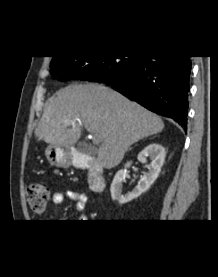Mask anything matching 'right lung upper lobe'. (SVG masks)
Here are the masks:
<instances>
[{
  "label": "right lung upper lobe",
  "mask_w": 218,
  "mask_h": 277,
  "mask_svg": "<svg viewBox=\"0 0 218 277\" xmlns=\"http://www.w3.org/2000/svg\"><path fill=\"white\" fill-rule=\"evenodd\" d=\"M56 57H59V56H54V58H56ZM54 58H53V59H54Z\"/></svg>",
  "instance_id": "right-lung-upper-lobe-1"
}]
</instances>
